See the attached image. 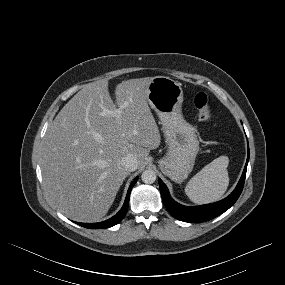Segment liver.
<instances>
[{
    "label": "liver",
    "instance_id": "liver-1",
    "mask_svg": "<svg viewBox=\"0 0 285 285\" xmlns=\"http://www.w3.org/2000/svg\"><path fill=\"white\" fill-rule=\"evenodd\" d=\"M153 77L116 86V103L108 81L84 85L49 126L41 170L46 194L65 216L94 222L106 215L129 171L121 165L133 155L142 166L160 145V133L148 106ZM124 106L120 117L105 114ZM118 107V108H117Z\"/></svg>",
    "mask_w": 285,
    "mask_h": 285
}]
</instances>
